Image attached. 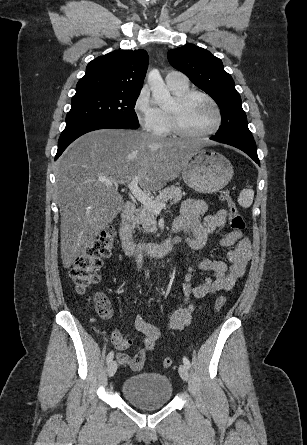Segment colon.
Wrapping results in <instances>:
<instances>
[{"label":"colon","instance_id":"colon-1","mask_svg":"<svg viewBox=\"0 0 307 445\" xmlns=\"http://www.w3.org/2000/svg\"><path fill=\"white\" fill-rule=\"evenodd\" d=\"M219 199L228 206L231 227L236 231H243L246 224L236 204L232 200L230 191L227 189L221 190L219 192ZM115 237L116 230L113 226L105 228L75 259L70 268V277L74 282L77 292L84 293L86 289L99 280V270L101 269L103 260L111 254ZM225 301L224 296H219L215 301L214 310L219 311L224 306ZM94 302L100 317L108 319L112 316L111 304L104 294L96 293L94 295ZM113 342L115 345L121 344L123 338L115 333L113 335ZM172 364L173 361L170 357L164 358L163 366L165 368L171 367Z\"/></svg>","mask_w":307,"mask_h":445}]
</instances>
